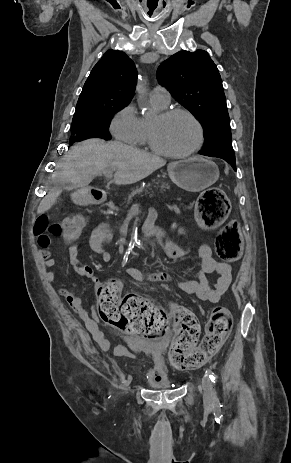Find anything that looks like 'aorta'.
I'll return each instance as SVG.
<instances>
[{
  "instance_id": "1",
  "label": "aorta",
  "mask_w": 291,
  "mask_h": 463,
  "mask_svg": "<svg viewBox=\"0 0 291 463\" xmlns=\"http://www.w3.org/2000/svg\"><path fill=\"white\" fill-rule=\"evenodd\" d=\"M136 90L139 93L140 100L143 102L144 96L146 95V92H147L145 84L138 83Z\"/></svg>"
}]
</instances>
